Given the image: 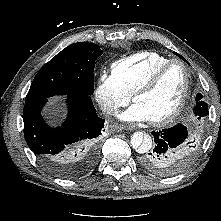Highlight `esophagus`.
<instances>
[{
  "label": "esophagus",
  "instance_id": "1",
  "mask_svg": "<svg viewBox=\"0 0 221 221\" xmlns=\"http://www.w3.org/2000/svg\"><path fill=\"white\" fill-rule=\"evenodd\" d=\"M126 129V127H124V126H122V125H113L112 126V130L113 131H116V132H120V131H123V130H125Z\"/></svg>",
  "mask_w": 221,
  "mask_h": 221
}]
</instances>
